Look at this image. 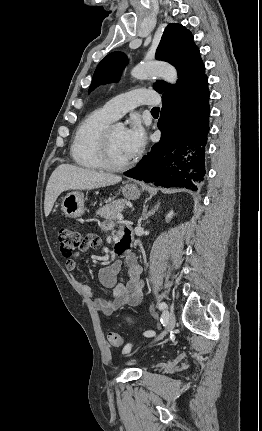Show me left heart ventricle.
<instances>
[{"instance_id": "b2bd125f", "label": "left heart ventricle", "mask_w": 262, "mask_h": 431, "mask_svg": "<svg viewBox=\"0 0 262 431\" xmlns=\"http://www.w3.org/2000/svg\"><path fill=\"white\" fill-rule=\"evenodd\" d=\"M123 135L124 129L119 127L112 128L111 153L113 160L117 163H123L131 160L123 145Z\"/></svg>"}]
</instances>
